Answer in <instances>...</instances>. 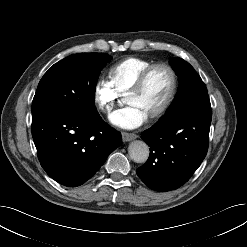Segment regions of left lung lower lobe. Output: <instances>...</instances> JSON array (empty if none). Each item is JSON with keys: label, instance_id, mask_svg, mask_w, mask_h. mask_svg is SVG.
Wrapping results in <instances>:
<instances>
[{"label": "left lung lower lobe", "instance_id": "0a47b994", "mask_svg": "<svg viewBox=\"0 0 247 247\" xmlns=\"http://www.w3.org/2000/svg\"><path fill=\"white\" fill-rule=\"evenodd\" d=\"M211 117L208 93H201L143 131L141 138L150 146V156L137 169L139 178L160 192L185 184L207 154Z\"/></svg>", "mask_w": 247, "mask_h": 247}]
</instances>
